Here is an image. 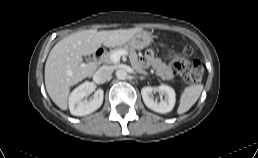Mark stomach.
<instances>
[{"label":"stomach","mask_w":258,"mask_h":158,"mask_svg":"<svg viewBox=\"0 0 258 158\" xmlns=\"http://www.w3.org/2000/svg\"><path fill=\"white\" fill-rule=\"evenodd\" d=\"M152 42V35L147 32L141 30L136 33L126 44L122 46H128L134 49H143L148 47Z\"/></svg>","instance_id":"0dacf381"}]
</instances>
